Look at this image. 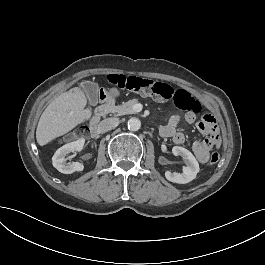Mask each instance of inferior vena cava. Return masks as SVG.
<instances>
[{
    "mask_svg": "<svg viewBox=\"0 0 265 265\" xmlns=\"http://www.w3.org/2000/svg\"><path fill=\"white\" fill-rule=\"evenodd\" d=\"M119 119L118 118H106L98 124V132L99 133H105L109 130H111L113 127H115L118 124Z\"/></svg>",
    "mask_w": 265,
    "mask_h": 265,
    "instance_id": "obj_1",
    "label": "inferior vena cava"
}]
</instances>
